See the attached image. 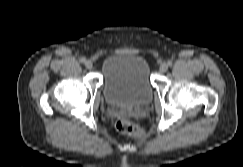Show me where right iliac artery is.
<instances>
[{
  "mask_svg": "<svg viewBox=\"0 0 243 167\" xmlns=\"http://www.w3.org/2000/svg\"><path fill=\"white\" fill-rule=\"evenodd\" d=\"M80 62H81V63H85V62H86V58H85V57H82V58L80 59Z\"/></svg>",
  "mask_w": 243,
  "mask_h": 167,
  "instance_id": "right-iliac-artery-1",
  "label": "right iliac artery"
}]
</instances>
